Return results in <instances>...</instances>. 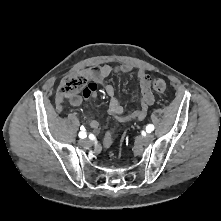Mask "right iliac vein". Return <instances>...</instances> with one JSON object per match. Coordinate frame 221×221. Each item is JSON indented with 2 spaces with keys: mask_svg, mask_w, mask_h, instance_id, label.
<instances>
[{
  "mask_svg": "<svg viewBox=\"0 0 221 221\" xmlns=\"http://www.w3.org/2000/svg\"><path fill=\"white\" fill-rule=\"evenodd\" d=\"M91 144H92V142L88 139H84V140L80 141V145L84 146V147H89V146H91Z\"/></svg>",
  "mask_w": 221,
  "mask_h": 221,
  "instance_id": "63e3f726",
  "label": "right iliac vein"
}]
</instances>
